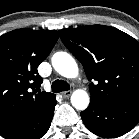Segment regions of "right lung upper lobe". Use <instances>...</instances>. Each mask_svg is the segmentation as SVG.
I'll list each match as a JSON object with an SVG mask.
<instances>
[{
    "mask_svg": "<svg viewBox=\"0 0 139 139\" xmlns=\"http://www.w3.org/2000/svg\"><path fill=\"white\" fill-rule=\"evenodd\" d=\"M59 38L55 30L18 29L0 37V129L25 118L55 95L41 92L37 67Z\"/></svg>",
    "mask_w": 139,
    "mask_h": 139,
    "instance_id": "1",
    "label": "right lung upper lobe"
}]
</instances>
